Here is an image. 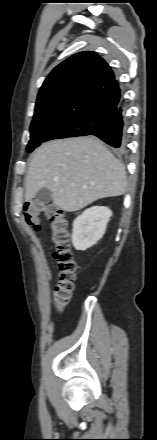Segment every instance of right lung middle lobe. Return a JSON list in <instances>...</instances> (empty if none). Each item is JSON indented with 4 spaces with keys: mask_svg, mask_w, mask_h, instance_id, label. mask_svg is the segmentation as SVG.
Returning <instances> with one entry per match:
<instances>
[{
    "mask_svg": "<svg viewBox=\"0 0 157 440\" xmlns=\"http://www.w3.org/2000/svg\"><path fill=\"white\" fill-rule=\"evenodd\" d=\"M31 140L27 145V152L33 151L42 142L58 138L89 135L87 125L81 121H36L30 127Z\"/></svg>",
    "mask_w": 157,
    "mask_h": 440,
    "instance_id": "dd1d6c3e",
    "label": "right lung middle lobe"
}]
</instances>
